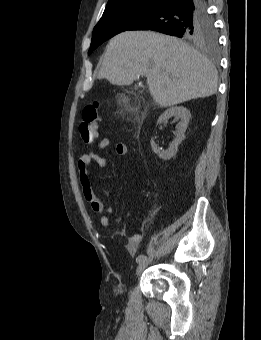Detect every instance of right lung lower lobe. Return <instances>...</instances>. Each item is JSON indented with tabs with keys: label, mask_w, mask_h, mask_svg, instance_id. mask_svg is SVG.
Returning a JSON list of instances; mask_svg holds the SVG:
<instances>
[{
	"label": "right lung lower lobe",
	"mask_w": 261,
	"mask_h": 340,
	"mask_svg": "<svg viewBox=\"0 0 261 340\" xmlns=\"http://www.w3.org/2000/svg\"><path fill=\"white\" fill-rule=\"evenodd\" d=\"M205 14L203 0H161L152 12L129 30H154L181 38L184 30Z\"/></svg>",
	"instance_id": "right-lung-lower-lobe-1"
}]
</instances>
